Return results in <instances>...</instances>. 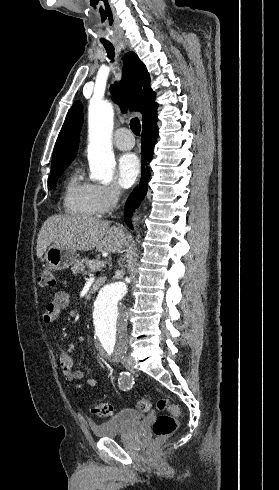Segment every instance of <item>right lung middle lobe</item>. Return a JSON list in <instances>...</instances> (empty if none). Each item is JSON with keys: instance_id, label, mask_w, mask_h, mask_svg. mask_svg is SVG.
I'll list each match as a JSON object with an SVG mask.
<instances>
[{"instance_id": "1", "label": "right lung middle lobe", "mask_w": 279, "mask_h": 490, "mask_svg": "<svg viewBox=\"0 0 279 490\" xmlns=\"http://www.w3.org/2000/svg\"><path fill=\"white\" fill-rule=\"evenodd\" d=\"M68 167V165L51 170L50 176H49V186L51 188L56 187V180L61 176L63 171Z\"/></svg>"}]
</instances>
